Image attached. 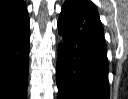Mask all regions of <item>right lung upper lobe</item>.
<instances>
[{"label":"right lung upper lobe","mask_w":128,"mask_h":99,"mask_svg":"<svg viewBox=\"0 0 128 99\" xmlns=\"http://www.w3.org/2000/svg\"><path fill=\"white\" fill-rule=\"evenodd\" d=\"M25 5L23 0H0V20Z\"/></svg>","instance_id":"right-lung-upper-lobe-1"}]
</instances>
